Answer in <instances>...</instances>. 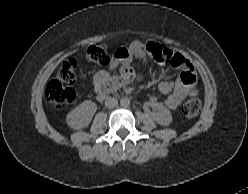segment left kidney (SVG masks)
Here are the masks:
<instances>
[{
	"label": "left kidney",
	"instance_id": "obj_1",
	"mask_svg": "<svg viewBox=\"0 0 248 194\" xmlns=\"http://www.w3.org/2000/svg\"><path fill=\"white\" fill-rule=\"evenodd\" d=\"M154 120L160 125L168 126L172 121V115L166 107L158 105V112L154 113Z\"/></svg>",
	"mask_w": 248,
	"mask_h": 194
}]
</instances>
